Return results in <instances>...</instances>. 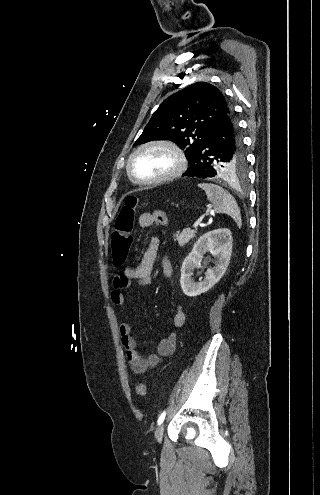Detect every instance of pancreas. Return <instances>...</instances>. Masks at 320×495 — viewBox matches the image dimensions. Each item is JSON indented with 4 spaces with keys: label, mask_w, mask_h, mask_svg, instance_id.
Wrapping results in <instances>:
<instances>
[{
    "label": "pancreas",
    "mask_w": 320,
    "mask_h": 495,
    "mask_svg": "<svg viewBox=\"0 0 320 495\" xmlns=\"http://www.w3.org/2000/svg\"><path fill=\"white\" fill-rule=\"evenodd\" d=\"M196 230L185 229L181 233L178 231L174 236L180 246L186 245L196 235Z\"/></svg>",
    "instance_id": "cf45deb5"
}]
</instances>
